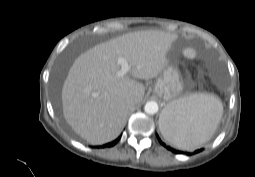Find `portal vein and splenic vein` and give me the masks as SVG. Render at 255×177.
Segmentation results:
<instances>
[{
	"instance_id": "portal-vein-and-splenic-vein-1",
	"label": "portal vein and splenic vein",
	"mask_w": 255,
	"mask_h": 177,
	"mask_svg": "<svg viewBox=\"0 0 255 177\" xmlns=\"http://www.w3.org/2000/svg\"><path fill=\"white\" fill-rule=\"evenodd\" d=\"M118 64L121 66V69L117 73V76L122 77L129 72L130 66H129L128 62L126 61V59H124L122 57L118 58Z\"/></svg>"
}]
</instances>
